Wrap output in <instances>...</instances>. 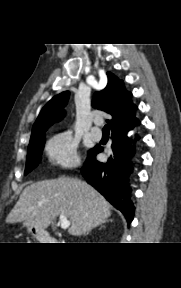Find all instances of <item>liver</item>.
<instances>
[{
    "mask_svg": "<svg viewBox=\"0 0 181 288\" xmlns=\"http://www.w3.org/2000/svg\"><path fill=\"white\" fill-rule=\"evenodd\" d=\"M65 215L71 222L70 235L80 236L104 223L111 206L92 186L74 178L39 181L27 186L6 218L8 224L23 223L45 232L53 219Z\"/></svg>",
    "mask_w": 181,
    "mask_h": 288,
    "instance_id": "liver-1",
    "label": "liver"
}]
</instances>
